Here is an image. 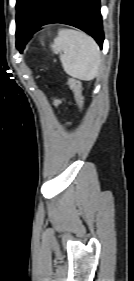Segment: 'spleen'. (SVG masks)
Here are the masks:
<instances>
[{"instance_id":"1","label":"spleen","mask_w":134,"mask_h":281,"mask_svg":"<svg viewBox=\"0 0 134 281\" xmlns=\"http://www.w3.org/2000/svg\"><path fill=\"white\" fill-rule=\"evenodd\" d=\"M51 48L60 53L64 71L77 79L90 81L97 75L101 53L89 35L72 29H60Z\"/></svg>"}]
</instances>
